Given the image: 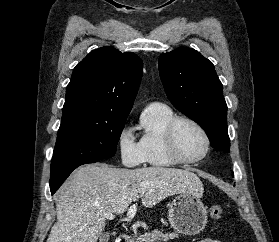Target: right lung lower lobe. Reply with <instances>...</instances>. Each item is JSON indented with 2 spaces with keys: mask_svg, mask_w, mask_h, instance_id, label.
Listing matches in <instances>:
<instances>
[{
  "mask_svg": "<svg viewBox=\"0 0 279 242\" xmlns=\"http://www.w3.org/2000/svg\"><path fill=\"white\" fill-rule=\"evenodd\" d=\"M97 161H88V162H84V163H81L77 166H75L74 168H72L70 171H68L67 173L63 174L62 176H60L58 179L50 182V190H51V194H54L58 188L61 186V184L65 181V179L70 175V173L75 169L77 168L78 166L80 165H83V164H87V163H95Z\"/></svg>",
  "mask_w": 279,
  "mask_h": 242,
  "instance_id": "98d812e1",
  "label": "right lung lower lobe"
}]
</instances>
